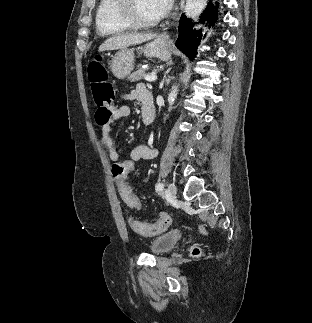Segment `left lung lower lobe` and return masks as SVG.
I'll use <instances>...</instances> for the list:
<instances>
[{
  "label": "left lung lower lobe",
  "mask_w": 312,
  "mask_h": 323,
  "mask_svg": "<svg viewBox=\"0 0 312 323\" xmlns=\"http://www.w3.org/2000/svg\"><path fill=\"white\" fill-rule=\"evenodd\" d=\"M220 3L209 2L206 9L202 13L199 22H192L182 16L179 20V37L176 42L177 47L184 52L189 58L194 59L197 54L198 45L205 39L203 28L216 29L218 23ZM199 24L201 25L199 27Z\"/></svg>",
  "instance_id": "left-lung-lower-lobe-1"
}]
</instances>
